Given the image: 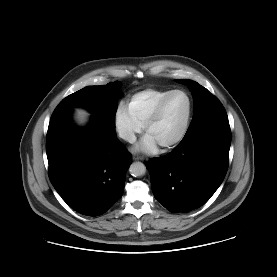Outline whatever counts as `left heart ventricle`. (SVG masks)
<instances>
[{
    "label": "left heart ventricle",
    "mask_w": 277,
    "mask_h": 277,
    "mask_svg": "<svg viewBox=\"0 0 277 277\" xmlns=\"http://www.w3.org/2000/svg\"><path fill=\"white\" fill-rule=\"evenodd\" d=\"M188 113V100L182 93L173 95L166 103L160 118L148 130L158 145L174 139L182 130Z\"/></svg>",
    "instance_id": "left-heart-ventricle-1"
}]
</instances>
